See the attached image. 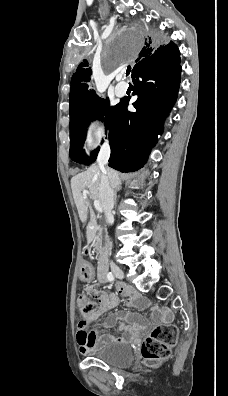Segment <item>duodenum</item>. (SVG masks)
<instances>
[{"label":"duodenum","mask_w":228,"mask_h":396,"mask_svg":"<svg viewBox=\"0 0 228 396\" xmlns=\"http://www.w3.org/2000/svg\"><path fill=\"white\" fill-rule=\"evenodd\" d=\"M107 248L105 246L100 247L98 256V274L102 276L105 273V262H106Z\"/></svg>","instance_id":"obj_1"}]
</instances>
